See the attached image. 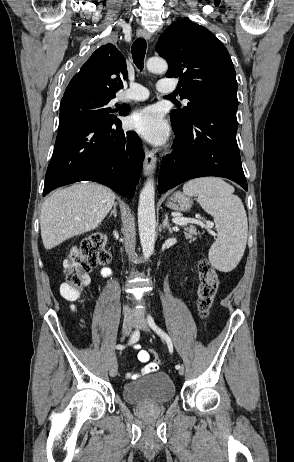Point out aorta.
<instances>
[{"instance_id":"obj_1","label":"aorta","mask_w":294,"mask_h":462,"mask_svg":"<svg viewBox=\"0 0 294 462\" xmlns=\"http://www.w3.org/2000/svg\"><path fill=\"white\" fill-rule=\"evenodd\" d=\"M146 65L152 73H164L168 69L167 62L158 57L148 59ZM138 228L143 255L149 258L154 251L156 229L155 187L151 178L146 181L139 195Z\"/></svg>"}]
</instances>
